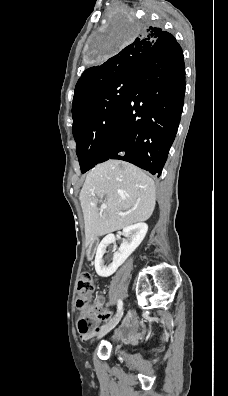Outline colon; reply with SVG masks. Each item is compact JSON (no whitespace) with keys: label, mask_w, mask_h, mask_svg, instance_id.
Segmentation results:
<instances>
[{"label":"colon","mask_w":228,"mask_h":396,"mask_svg":"<svg viewBox=\"0 0 228 396\" xmlns=\"http://www.w3.org/2000/svg\"><path fill=\"white\" fill-rule=\"evenodd\" d=\"M95 284L93 278L89 273H83L77 284V307L81 311L78 320V328L81 334H88L96 327L98 319L97 310L100 308L102 302L97 300L92 303V293L94 292Z\"/></svg>","instance_id":"obj_1"}]
</instances>
